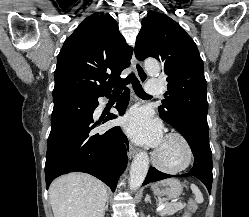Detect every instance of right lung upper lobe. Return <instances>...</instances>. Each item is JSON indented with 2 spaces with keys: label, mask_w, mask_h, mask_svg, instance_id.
<instances>
[{
  "label": "right lung upper lobe",
  "mask_w": 249,
  "mask_h": 217,
  "mask_svg": "<svg viewBox=\"0 0 249 217\" xmlns=\"http://www.w3.org/2000/svg\"><path fill=\"white\" fill-rule=\"evenodd\" d=\"M132 48L108 13L84 19L69 36L57 58L53 92L71 90L95 94L108 91L129 67Z\"/></svg>",
  "instance_id": "obj_1"
}]
</instances>
